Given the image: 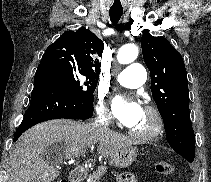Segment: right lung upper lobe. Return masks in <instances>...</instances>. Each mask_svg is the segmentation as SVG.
<instances>
[{
  "label": "right lung upper lobe",
  "mask_w": 211,
  "mask_h": 182,
  "mask_svg": "<svg viewBox=\"0 0 211 182\" xmlns=\"http://www.w3.org/2000/svg\"><path fill=\"white\" fill-rule=\"evenodd\" d=\"M103 49V41L90 30L66 31L47 47L38 67L44 68L50 63H57L98 78L101 63L94 56H102Z\"/></svg>",
  "instance_id": "right-lung-upper-lobe-1"
}]
</instances>
